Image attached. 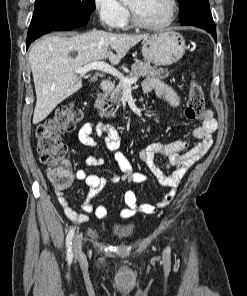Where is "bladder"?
<instances>
[{
	"label": "bladder",
	"instance_id": "1",
	"mask_svg": "<svg viewBox=\"0 0 247 296\" xmlns=\"http://www.w3.org/2000/svg\"><path fill=\"white\" fill-rule=\"evenodd\" d=\"M133 229L129 226H117L114 228V234L120 239L128 238L132 235Z\"/></svg>",
	"mask_w": 247,
	"mask_h": 296
}]
</instances>
